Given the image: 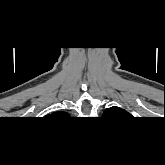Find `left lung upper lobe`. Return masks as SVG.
Masks as SVG:
<instances>
[{
	"label": "left lung upper lobe",
	"mask_w": 165,
	"mask_h": 165,
	"mask_svg": "<svg viewBox=\"0 0 165 165\" xmlns=\"http://www.w3.org/2000/svg\"><path fill=\"white\" fill-rule=\"evenodd\" d=\"M124 114H128L125 110L119 108V107H111V108H108L104 111V116H111V117H115V116H121V115H124Z\"/></svg>",
	"instance_id": "5c2ea615"
}]
</instances>
